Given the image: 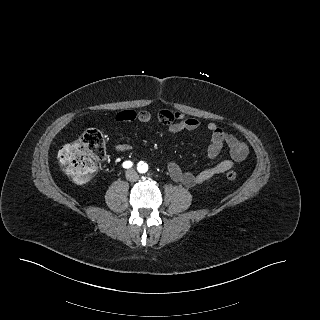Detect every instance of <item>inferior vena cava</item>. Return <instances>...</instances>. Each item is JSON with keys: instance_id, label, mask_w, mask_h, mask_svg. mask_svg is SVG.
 Here are the masks:
<instances>
[{"instance_id": "obj_1", "label": "inferior vena cava", "mask_w": 320, "mask_h": 320, "mask_svg": "<svg viewBox=\"0 0 320 320\" xmlns=\"http://www.w3.org/2000/svg\"><path fill=\"white\" fill-rule=\"evenodd\" d=\"M126 178H127L129 181H136V180L139 178V176H138V174H137L136 171H134L133 169H131V170H128V171L126 172Z\"/></svg>"}]
</instances>
